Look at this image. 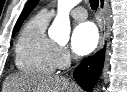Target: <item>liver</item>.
Returning a JSON list of instances; mask_svg holds the SVG:
<instances>
[{"instance_id": "liver-1", "label": "liver", "mask_w": 127, "mask_h": 92, "mask_svg": "<svg viewBox=\"0 0 127 92\" xmlns=\"http://www.w3.org/2000/svg\"><path fill=\"white\" fill-rule=\"evenodd\" d=\"M3 92H82L65 77L15 74L8 76Z\"/></svg>"}]
</instances>
